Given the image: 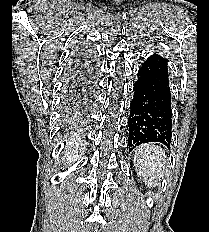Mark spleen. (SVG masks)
I'll use <instances>...</instances> for the list:
<instances>
[{
    "mask_svg": "<svg viewBox=\"0 0 209 232\" xmlns=\"http://www.w3.org/2000/svg\"><path fill=\"white\" fill-rule=\"evenodd\" d=\"M165 158V153L159 146L152 143L141 145L135 150V169L146 183L156 187L164 177Z\"/></svg>",
    "mask_w": 209,
    "mask_h": 232,
    "instance_id": "spleen-1",
    "label": "spleen"
}]
</instances>
